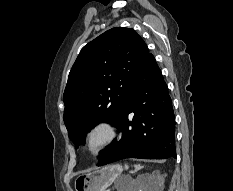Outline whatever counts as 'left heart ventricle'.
<instances>
[{"instance_id":"left-heart-ventricle-1","label":"left heart ventricle","mask_w":233,"mask_h":191,"mask_svg":"<svg viewBox=\"0 0 233 191\" xmlns=\"http://www.w3.org/2000/svg\"><path fill=\"white\" fill-rule=\"evenodd\" d=\"M100 140V136H96L95 139H94V142H98Z\"/></svg>"}]
</instances>
